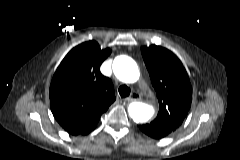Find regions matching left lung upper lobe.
I'll list each match as a JSON object with an SVG mask.
<instances>
[{"label":"left lung upper lobe","instance_id":"5c2ea615","mask_svg":"<svg viewBox=\"0 0 240 160\" xmlns=\"http://www.w3.org/2000/svg\"><path fill=\"white\" fill-rule=\"evenodd\" d=\"M141 53L159 101V113L151 126L170 134L188 114L192 86L178 57L161 46L142 47Z\"/></svg>","mask_w":240,"mask_h":160}]
</instances>
